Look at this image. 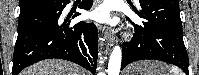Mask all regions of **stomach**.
I'll use <instances>...</instances> for the list:
<instances>
[{"instance_id": "0dacf381", "label": "stomach", "mask_w": 199, "mask_h": 75, "mask_svg": "<svg viewBox=\"0 0 199 75\" xmlns=\"http://www.w3.org/2000/svg\"><path fill=\"white\" fill-rule=\"evenodd\" d=\"M167 66L161 62L141 61L130 65L125 75H165Z\"/></svg>"}]
</instances>
